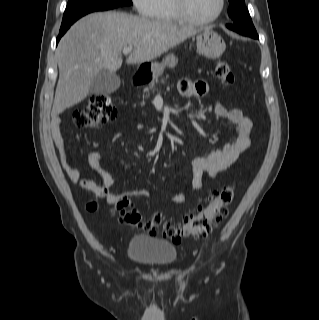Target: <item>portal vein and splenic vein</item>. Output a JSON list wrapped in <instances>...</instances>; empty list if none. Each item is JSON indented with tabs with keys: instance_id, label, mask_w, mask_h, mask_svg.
Wrapping results in <instances>:
<instances>
[{
	"instance_id": "1",
	"label": "portal vein and splenic vein",
	"mask_w": 319,
	"mask_h": 320,
	"mask_svg": "<svg viewBox=\"0 0 319 320\" xmlns=\"http://www.w3.org/2000/svg\"><path fill=\"white\" fill-rule=\"evenodd\" d=\"M132 47H125L124 49H123V53L125 54V55H127V54H129L131 51H132Z\"/></svg>"
}]
</instances>
